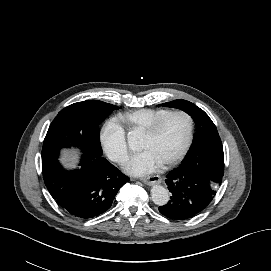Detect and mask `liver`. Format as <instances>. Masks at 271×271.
<instances>
[{"mask_svg": "<svg viewBox=\"0 0 271 271\" xmlns=\"http://www.w3.org/2000/svg\"><path fill=\"white\" fill-rule=\"evenodd\" d=\"M75 159V156L71 157L69 156L68 154H64V158H63V161L64 162H68V164L72 165V163H69L70 161H73Z\"/></svg>", "mask_w": 271, "mask_h": 271, "instance_id": "1", "label": "liver"}]
</instances>
